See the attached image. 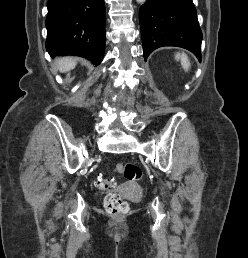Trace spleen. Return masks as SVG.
I'll list each match as a JSON object with an SVG mask.
<instances>
[{
	"label": "spleen",
	"instance_id": "3e777b00",
	"mask_svg": "<svg viewBox=\"0 0 248 258\" xmlns=\"http://www.w3.org/2000/svg\"><path fill=\"white\" fill-rule=\"evenodd\" d=\"M175 59L177 61H180L183 69L186 72H188V70L190 69V66H191L188 56L185 53H179L178 52V53L175 54Z\"/></svg>",
	"mask_w": 248,
	"mask_h": 258
}]
</instances>
